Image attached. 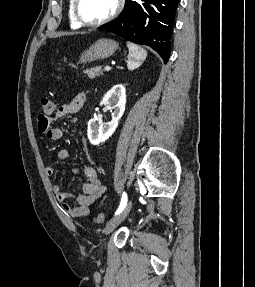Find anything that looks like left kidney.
<instances>
[{
  "instance_id": "left-kidney-1",
  "label": "left kidney",
  "mask_w": 255,
  "mask_h": 287,
  "mask_svg": "<svg viewBox=\"0 0 255 287\" xmlns=\"http://www.w3.org/2000/svg\"><path fill=\"white\" fill-rule=\"evenodd\" d=\"M100 106H106V108H112V120L103 124L100 120L92 118L88 122L87 136L91 144L98 145L101 142L108 140L112 134H114L120 118H122L125 112L126 106V90L123 84H117L113 86L107 94H105Z\"/></svg>"
}]
</instances>
